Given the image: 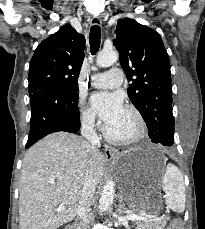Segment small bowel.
<instances>
[{
  "label": "small bowel",
  "instance_id": "c3829d8e",
  "mask_svg": "<svg viewBox=\"0 0 205 229\" xmlns=\"http://www.w3.org/2000/svg\"><path fill=\"white\" fill-rule=\"evenodd\" d=\"M166 229H181V225L178 221L171 223Z\"/></svg>",
  "mask_w": 205,
  "mask_h": 229
}]
</instances>
